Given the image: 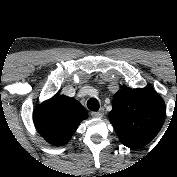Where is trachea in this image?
Wrapping results in <instances>:
<instances>
[{"label": "trachea", "mask_w": 177, "mask_h": 177, "mask_svg": "<svg viewBox=\"0 0 177 177\" xmlns=\"http://www.w3.org/2000/svg\"><path fill=\"white\" fill-rule=\"evenodd\" d=\"M87 107L91 111H98L99 110V102L96 98H90L87 101Z\"/></svg>", "instance_id": "trachea-1"}]
</instances>
